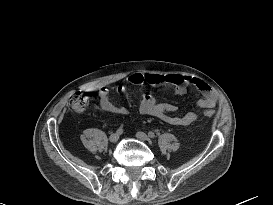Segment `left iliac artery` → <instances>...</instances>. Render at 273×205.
Wrapping results in <instances>:
<instances>
[{
	"label": "left iliac artery",
	"mask_w": 273,
	"mask_h": 205,
	"mask_svg": "<svg viewBox=\"0 0 273 205\" xmlns=\"http://www.w3.org/2000/svg\"><path fill=\"white\" fill-rule=\"evenodd\" d=\"M148 136H149L150 138H154V137H155V134H154V132L149 131V132H148Z\"/></svg>",
	"instance_id": "1"
}]
</instances>
